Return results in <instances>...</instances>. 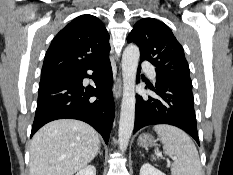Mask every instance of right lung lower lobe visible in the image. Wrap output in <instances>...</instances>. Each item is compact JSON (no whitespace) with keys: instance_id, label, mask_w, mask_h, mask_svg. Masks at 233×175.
<instances>
[{"instance_id":"obj_1","label":"right lung lower lobe","mask_w":233,"mask_h":175,"mask_svg":"<svg viewBox=\"0 0 233 175\" xmlns=\"http://www.w3.org/2000/svg\"><path fill=\"white\" fill-rule=\"evenodd\" d=\"M87 70L93 71L96 88L83 87V79L91 78ZM114 115L112 68L107 56L67 75L40 82L31 136L50 121L70 118L93 126L107 144Z\"/></svg>"}]
</instances>
